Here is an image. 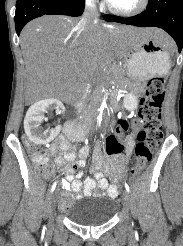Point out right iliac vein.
Instances as JSON below:
<instances>
[{"label": "right iliac vein", "mask_w": 183, "mask_h": 246, "mask_svg": "<svg viewBox=\"0 0 183 246\" xmlns=\"http://www.w3.org/2000/svg\"><path fill=\"white\" fill-rule=\"evenodd\" d=\"M57 197H58V190H56L50 198V203H49V225L50 226H53V212H54Z\"/></svg>", "instance_id": "obj_1"}]
</instances>
